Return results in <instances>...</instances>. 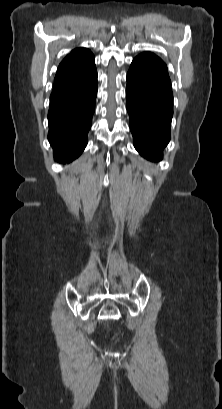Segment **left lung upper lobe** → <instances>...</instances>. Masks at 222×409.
I'll return each mask as SVG.
<instances>
[{
    "mask_svg": "<svg viewBox=\"0 0 222 409\" xmlns=\"http://www.w3.org/2000/svg\"><path fill=\"white\" fill-rule=\"evenodd\" d=\"M130 70L171 84L166 64L153 53L138 55L131 63Z\"/></svg>",
    "mask_w": 222,
    "mask_h": 409,
    "instance_id": "1",
    "label": "left lung upper lobe"
}]
</instances>
